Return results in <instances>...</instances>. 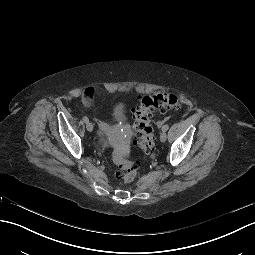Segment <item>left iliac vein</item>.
<instances>
[{"mask_svg": "<svg viewBox=\"0 0 255 255\" xmlns=\"http://www.w3.org/2000/svg\"><path fill=\"white\" fill-rule=\"evenodd\" d=\"M167 139V135L165 133V131H163L161 134H160V141L161 142H165Z\"/></svg>", "mask_w": 255, "mask_h": 255, "instance_id": "left-iliac-vein-1", "label": "left iliac vein"}]
</instances>
